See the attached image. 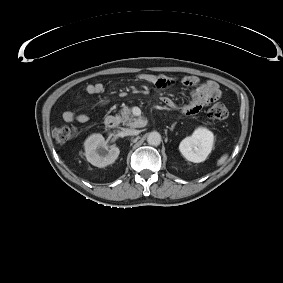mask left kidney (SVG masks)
I'll return each mask as SVG.
<instances>
[{"mask_svg":"<svg viewBox=\"0 0 283 283\" xmlns=\"http://www.w3.org/2000/svg\"><path fill=\"white\" fill-rule=\"evenodd\" d=\"M213 143V133L204 127H198L191 136L181 141L179 150L187 160L200 163L210 154Z\"/></svg>","mask_w":283,"mask_h":283,"instance_id":"5707ae66","label":"left kidney"}]
</instances>
